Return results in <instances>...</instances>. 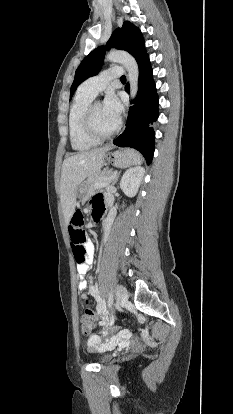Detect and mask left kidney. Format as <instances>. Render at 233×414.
Segmentation results:
<instances>
[{
  "label": "left kidney",
  "mask_w": 233,
  "mask_h": 414,
  "mask_svg": "<svg viewBox=\"0 0 233 414\" xmlns=\"http://www.w3.org/2000/svg\"><path fill=\"white\" fill-rule=\"evenodd\" d=\"M144 168L136 166L128 169L122 176L120 188L128 197H134L144 176Z\"/></svg>",
  "instance_id": "left-kidney-1"
}]
</instances>
